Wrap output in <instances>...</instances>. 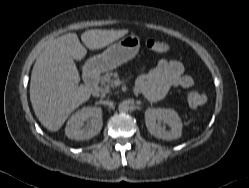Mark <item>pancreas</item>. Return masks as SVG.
Masks as SVG:
<instances>
[{
  "instance_id": "cf45deb5",
  "label": "pancreas",
  "mask_w": 249,
  "mask_h": 188,
  "mask_svg": "<svg viewBox=\"0 0 249 188\" xmlns=\"http://www.w3.org/2000/svg\"><path fill=\"white\" fill-rule=\"evenodd\" d=\"M118 73H107L101 77V84H100V93L102 96H106L107 94L111 93L113 88L115 87L114 81L118 79Z\"/></svg>"
}]
</instances>
